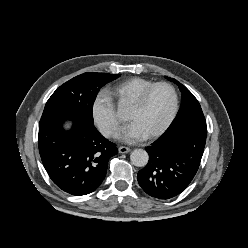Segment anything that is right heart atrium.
<instances>
[{"instance_id": "obj_1", "label": "right heart atrium", "mask_w": 248, "mask_h": 248, "mask_svg": "<svg viewBox=\"0 0 248 248\" xmlns=\"http://www.w3.org/2000/svg\"><path fill=\"white\" fill-rule=\"evenodd\" d=\"M91 115L98 130L108 138L115 137L121 127L115 104L106 92L98 93L91 105Z\"/></svg>"}]
</instances>
